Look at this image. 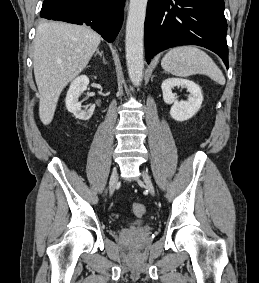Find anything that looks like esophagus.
<instances>
[{
    "instance_id": "34e87169",
    "label": "esophagus",
    "mask_w": 259,
    "mask_h": 283,
    "mask_svg": "<svg viewBox=\"0 0 259 283\" xmlns=\"http://www.w3.org/2000/svg\"><path fill=\"white\" fill-rule=\"evenodd\" d=\"M126 5H128V0H127V2H126Z\"/></svg>"
}]
</instances>
